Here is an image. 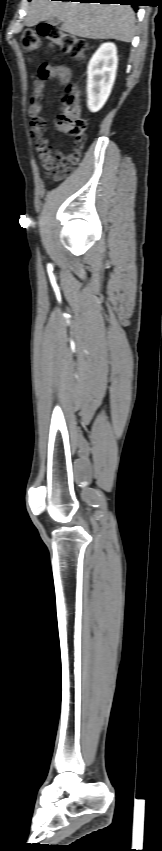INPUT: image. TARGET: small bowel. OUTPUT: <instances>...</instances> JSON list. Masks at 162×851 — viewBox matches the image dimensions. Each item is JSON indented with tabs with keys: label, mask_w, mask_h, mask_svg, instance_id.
I'll use <instances>...</instances> for the list:
<instances>
[{
	"label": "small bowel",
	"mask_w": 162,
	"mask_h": 851,
	"mask_svg": "<svg viewBox=\"0 0 162 851\" xmlns=\"http://www.w3.org/2000/svg\"><path fill=\"white\" fill-rule=\"evenodd\" d=\"M71 73L67 66L51 65L43 63L39 66L38 77L33 82V91L31 103L29 106V115L31 117V137L34 140L37 150V158L41 166L49 173L53 174L54 170L62 163L67 161L69 156H66L61 150L54 149L47 138L44 137L46 130L45 120L40 116L42 111L41 99L46 87V79L54 77L60 84H66L70 79ZM56 128L63 131L59 122H56Z\"/></svg>",
	"instance_id": "c3829d8e"
}]
</instances>
